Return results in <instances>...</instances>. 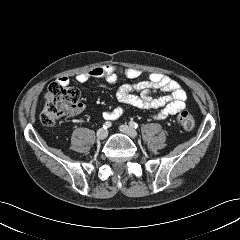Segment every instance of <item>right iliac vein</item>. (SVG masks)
<instances>
[{"mask_svg": "<svg viewBox=\"0 0 240 240\" xmlns=\"http://www.w3.org/2000/svg\"><path fill=\"white\" fill-rule=\"evenodd\" d=\"M107 136H108V130L107 129L101 128L97 131V138L99 140H104V139H106Z\"/></svg>", "mask_w": 240, "mask_h": 240, "instance_id": "right-iliac-vein-1", "label": "right iliac vein"}]
</instances>
